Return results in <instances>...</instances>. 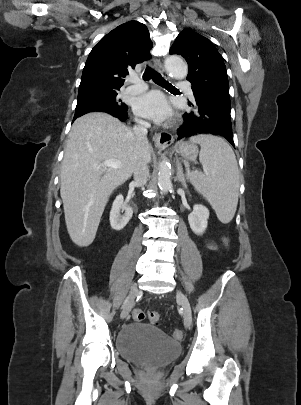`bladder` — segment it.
Instances as JSON below:
<instances>
[{
    "instance_id": "31cf9c89",
    "label": "bladder",
    "mask_w": 301,
    "mask_h": 405,
    "mask_svg": "<svg viewBox=\"0 0 301 405\" xmlns=\"http://www.w3.org/2000/svg\"><path fill=\"white\" fill-rule=\"evenodd\" d=\"M115 346L119 355L126 360L156 366L168 364L180 352L178 342L160 329L142 323L125 325L116 337Z\"/></svg>"
}]
</instances>
